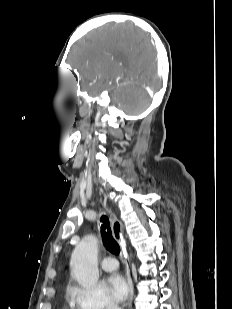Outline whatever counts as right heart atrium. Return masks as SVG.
Listing matches in <instances>:
<instances>
[{"label":"right heart atrium","instance_id":"d8ad5b80","mask_svg":"<svg viewBox=\"0 0 232 309\" xmlns=\"http://www.w3.org/2000/svg\"><path fill=\"white\" fill-rule=\"evenodd\" d=\"M68 297L76 309H119L110 294L102 287L70 285Z\"/></svg>","mask_w":232,"mask_h":309}]
</instances>
